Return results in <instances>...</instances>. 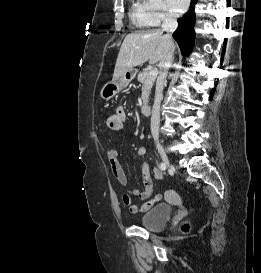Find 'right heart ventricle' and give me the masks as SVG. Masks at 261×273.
<instances>
[{"mask_svg":"<svg viewBox=\"0 0 261 273\" xmlns=\"http://www.w3.org/2000/svg\"><path fill=\"white\" fill-rule=\"evenodd\" d=\"M131 17L135 23H137L140 26L146 27V26H144V23L142 21L140 0H132Z\"/></svg>","mask_w":261,"mask_h":273,"instance_id":"obj_1","label":"right heart ventricle"}]
</instances>
